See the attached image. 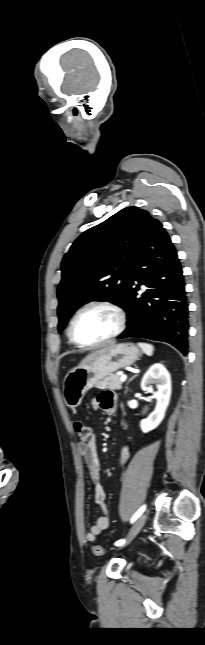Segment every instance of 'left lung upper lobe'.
Instances as JSON below:
<instances>
[{
	"label": "left lung upper lobe",
	"mask_w": 205,
	"mask_h": 645,
	"mask_svg": "<svg viewBox=\"0 0 205 645\" xmlns=\"http://www.w3.org/2000/svg\"><path fill=\"white\" fill-rule=\"evenodd\" d=\"M153 220L138 207H127L79 236L62 263L58 286V330L72 314L92 300L122 306L130 283L138 244Z\"/></svg>",
	"instance_id": "5c2ea615"
}]
</instances>
